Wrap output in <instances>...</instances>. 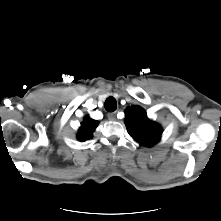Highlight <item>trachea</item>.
Wrapping results in <instances>:
<instances>
[{
  "label": "trachea",
  "mask_w": 221,
  "mask_h": 221,
  "mask_svg": "<svg viewBox=\"0 0 221 221\" xmlns=\"http://www.w3.org/2000/svg\"><path fill=\"white\" fill-rule=\"evenodd\" d=\"M105 109L108 112H114L117 109V102L114 97H108L104 104Z\"/></svg>",
  "instance_id": "trachea-1"
}]
</instances>
